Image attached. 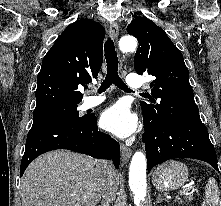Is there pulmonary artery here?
<instances>
[{"label":"pulmonary artery","mask_w":221,"mask_h":206,"mask_svg":"<svg viewBox=\"0 0 221 206\" xmlns=\"http://www.w3.org/2000/svg\"><path fill=\"white\" fill-rule=\"evenodd\" d=\"M126 84L132 89H138L143 86V79L137 74H129L126 77ZM105 100V96H90L87 98L85 104L87 108L98 106Z\"/></svg>","instance_id":"obj_1"}]
</instances>
